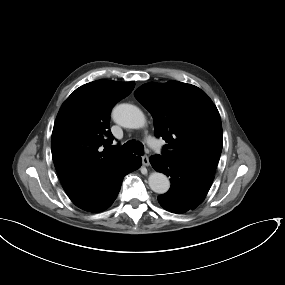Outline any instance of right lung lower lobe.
Returning a JSON list of instances; mask_svg holds the SVG:
<instances>
[{
	"mask_svg": "<svg viewBox=\"0 0 285 285\" xmlns=\"http://www.w3.org/2000/svg\"><path fill=\"white\" fill-rule=\"evenodd\" d=\"M142 159L139 156H134L129 163L120 171L113 175L97 192V194L78 206L79 208L93 213L100 212L108 208L116 199L125 175L138 169L141 166Z\"/></svg>",
	"mask_w": 285,
	"mask_h": 285,
	"instance_id": "right-lung-lower-lobe-1",
	"label": "right lung lower lobe"
}]
</instances>
